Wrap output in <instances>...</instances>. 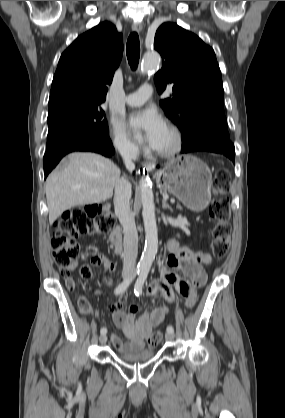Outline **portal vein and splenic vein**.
<instances>
[{"label":"portal vein and splenic vein","mask_w":285,"mask_h":418,"mask_svg":"<svg viewBox=\"0 0 285 418\" xmlns=\"http://www.w3.org/2000/svg\"><path fill=\"white\" fill-rule=\"evenodd\" d=\"M170 201H171L172 203H174V202H175V200H174V199H171Z\"/></svg>","instance_id":"portal-vein-and-splenic-vein-1"}]
</instances>
